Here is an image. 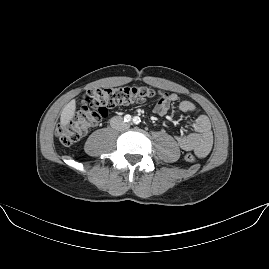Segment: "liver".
<instances>
[{
  "instance_id": "1",
  "label": "liver",
  "mask_w": 269,
  "mask_h": 269,
  "mask_svg": "<svg viewBox=\"0 0 269 269\" xmlns=\"http://www.w3.org/2000/svg\"><path fill=\"white\" fill-rule=\"evenodd\" d=\"M75 102L74 100H71L63 109L62 114H61V123L62 124H67L69 119L73 115V110H74Z\"/></svg>"
}]
</instances>
